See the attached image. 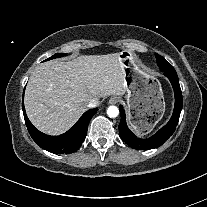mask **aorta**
I'll return each mask as SVG.
<instances>
[{
  "label": "aorta",
  "mask_w": 207,
  "mask_h": 207,
  "mask_svg": "<svg viewBox=\"0 0 207 207\" xmlns=\"http://www.w3.org/2000/svg\"><path fill=\"white\" fill-rule=\"evenodd\" d=\"M107 114L110 118H115L119 114V109L116 106H109L107 108Z\"/></svg>",
  "instance_id": "1"
}]
</instances>
